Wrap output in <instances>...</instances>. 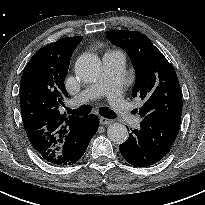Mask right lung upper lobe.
<instances>
[{
  "label": "right lung upper lobe",
  "mask_w": 205,
  "mask_h": 205,
  "mask_svg": "<svg viewBox=\"0 0 205 205\" xmlns=\"http://www.w3.org/2000/svg\"><path fill=\"white\" fill-rule=\"evenodd\" d=\"M82 38L67 37L40 48L21 77L23 125L33 148L48 162L57 156L68 132L83 119L58 110L68 95L64 80L71 55Z\"/></svg>",
  "instance_id": "right-lung-upper-lobe-1"
}]
</instances>
